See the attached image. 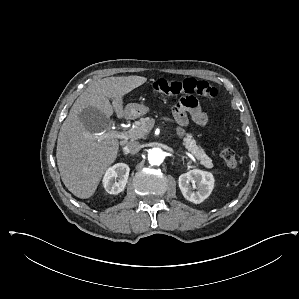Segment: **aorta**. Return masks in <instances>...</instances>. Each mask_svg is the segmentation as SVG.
Instances as JSON below:
<instances>
[{
    "label": "aorta",
    "instance_id": "1",
    "mask_svg": "<svg viewBox=\"0 0 299 299\" xmlns=\"http://www.w3.org/2000/svg\"><path fill=\"white\" fill-rule=\"evenodd\" d=\"M164 160V152L160 148H151L148 151V161L151 165H160Z\"/></svg>",
    "mask_w": 299,
    "mask_h": 299
}]
</instances>
